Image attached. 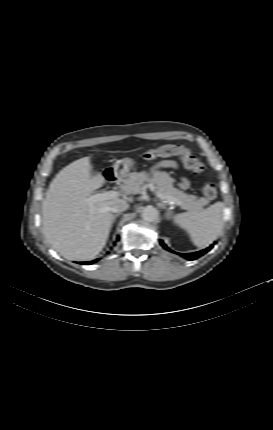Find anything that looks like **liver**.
I'll list each match as a JSON object with an SVG mask.
<instances>
[{"label":"liver","mask_w":273,"mask_h":430,"mask_svg":"<svg viewBox=\"0 0 273 430\" xmlns=\"http://www.w3.org/2000/svg\"><path fill=\"white\" fill-rule=\"evenodd\" d=\"M90 157L64 167L53 179L42 203V225L47 241L69 260L93 259L105 246L112 226L110 207L132 197L87 202L91 192L105 183L92 174Z\"/></svg>","instance_id":"liver-1"}]
</instances>
